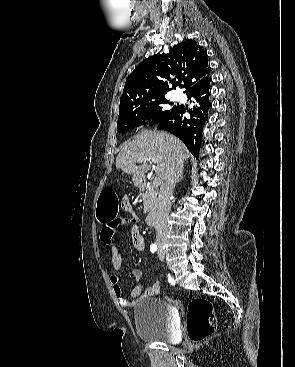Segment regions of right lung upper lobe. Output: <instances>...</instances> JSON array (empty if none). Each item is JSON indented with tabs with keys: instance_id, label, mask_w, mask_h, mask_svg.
I'll return each mask as SVG.
<instances>
[{
	"instance_id": "1",
	"label": "right lung upper lobe",
	"mask_w": 295,
	"mask_h": 367,
	"mask_svg": "<svg viewBox=\"0 0 295 367\" xmlns=\"http://www.w3.org/2000/svg\"><path fill=\"white\" fill-rule=\"evenodd\" d=\"M174 79L167 82L165 79ZM211 80L207 53L194 40L175 45L169 54H156L141 62L127 77L119 110L129 102L151 100L169 90L185 93Z\"/></svg>"
}]
</instances>
